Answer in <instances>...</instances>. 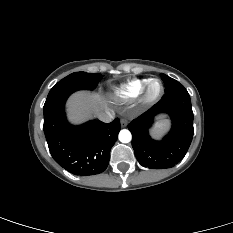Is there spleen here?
Instances as JSON below:
<instances>
[{"instance_id": "3e777b00", "label": "spleen", "mask_w": 233, "mask_h": 233, "mask_svg": "<svg viewBox=\"0 0 233 233\" xmlns=\"http://www.w3.org/2000/svg\"><path fill=\"white\" fill-rule=\"evenodd\" d=\"M167 127H168V123L166 121L159 122L155 125V129H156L155 133H159L164 129H166Z\"/></svg>"}]
</instances>
